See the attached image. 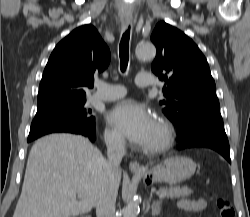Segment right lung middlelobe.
Listing matches in <instances>:
<instances>
[{
    "mask_svg": "<svg viewBox=\"0 0 250 217\" xmlns=\"http://www.w3.org/2000/svg\"><path fill=\"white\" fill-rule=\"evenodd\" d=\"M85 99L57 103L37 109L28 142L54 132L89 135L95 133V118L85 106Z\"/></svg>",
    "mask_w": 250,
    "mask_h": 217,
    "instance_id": "right-lung-middle-lobe-1",
    "label": "right lung middle lobe"
}]
</instances>
